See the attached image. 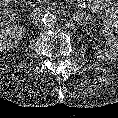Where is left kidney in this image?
<instances>
[{
  "mask_svg": "<svg viewBox=\"0 0 118 118\" xmlns=\"http://www.w3.org/2000/svg\"><path fill=\"white\" fill-rule=\"evenodd\" d=\"M99 33L101 37L107 40V46L109 48L105 51L95 52V57L100 61L115 60L118 56V39L107 30H100Z\"/></svg>",
  "mask_w": 118,
  "mask_h": 118,
  "instance_id": "obj_1",
  "label": "left kidney"
}]
</instances>
